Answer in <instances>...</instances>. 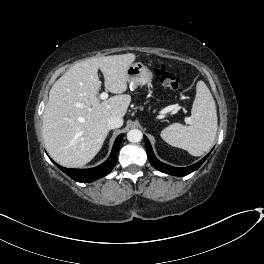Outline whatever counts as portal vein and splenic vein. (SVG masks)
<instances>
[{
  "instance_id": "portal-vein-and-splenic-vein-1",
  "label": "portal vein and splenic vein",
  "mask_w": 264,
  "mask_h": 264,
  "mask_svg": "<svg viewBox=\"0 0 264 264\" xmlns=\"http://www.w3.org/2000/svg\"><path fill=\"white\" fill-rule=\"evenodd\" d=\"M108 98V93L107 92H102L101 94H100V99H102V100H105V99H107ZM175 108H177V106H171V107H168V108H166L164 111H163V113H167V112H170L171 110H173V109H175ZM186 123L187 124H190L191 123V120H190V118H186Z\"/></svg>"
}]
</instances>
